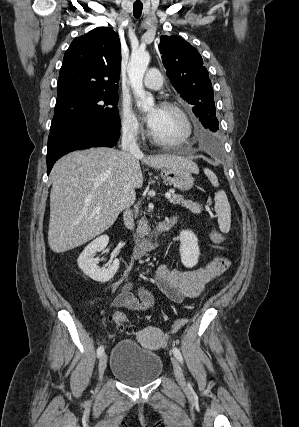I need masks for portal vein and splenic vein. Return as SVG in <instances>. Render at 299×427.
I'll return each instance as SVG.
<instances>
[{
    "label": "portal vein and splenic vein",
    "instance_id": "portal-vein-and-splenic-vein-1",
    "mask_svg": "<svg viewBox=\"0 0 299 427\" xmlns=\"http://www.w3.org/2000/svg\"><path fill=\"white\" fill-rule=\"evenodd\" d=\"M165 197H166L167 199H170V198H171V194H170V193H167V194H165ZM98 209H100V207H98Z\"/></svg>",
    "mask_w": 299,
    "mask_h": 427
}]
</instances>
